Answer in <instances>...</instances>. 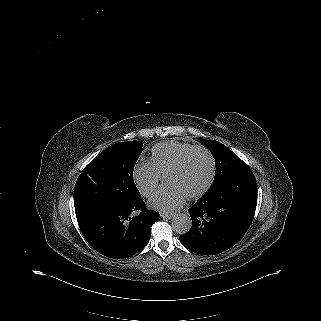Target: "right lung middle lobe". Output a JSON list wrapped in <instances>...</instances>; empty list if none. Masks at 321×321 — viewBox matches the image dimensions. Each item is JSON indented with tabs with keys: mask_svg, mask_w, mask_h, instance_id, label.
Here are the masks:
<instances>
[{
	"mask_svg": "<svg viewBox=\"0 0 321 321\" xmlns=\"http://www.w3.org/2000/svg\"><path fill=\"white\" fill-rule=\"evenodd\" d=\"M143 143H116L97 155L79 175L74 190L75 211L107 204H132L141 198L133 180Z\"/></svg>",
	"mask_w": 321,
	"mask_h": 321,
	"instance_id": "1",
	"label": "right lung middle lobe"
}]
</instances>
